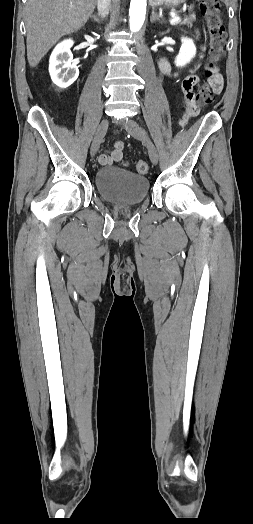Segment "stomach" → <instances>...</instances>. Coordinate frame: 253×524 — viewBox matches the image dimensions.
Instances as JSON below:
<instances>
[{
  "label": "stomach",
  "mask_w": 253,
  "mask_h": 524,
  "mask_svg": "<svg viewBox=\"0 0 253 524\" xmlns=\"http://www.w3.org/2000/svg\"><path fill=\"white\" fill-rule=\"evenodd\" d=\"M185 0H153V6H177Z\"/></svg>",
  "instance_id": "0dacf381"
}]
</instances>
